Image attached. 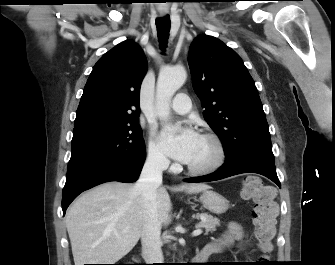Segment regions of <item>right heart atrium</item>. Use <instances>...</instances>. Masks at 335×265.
<instances>
[{"label": "right heart atrium", "instance_id": "obj_1", "mask_svg": "<svg viewBox=\"0 0 335 265\" xmlns=\"http://www.w3.org/2000/svg\"><path fill=\"white\" fill-rule=\"evenodd\" d=\"M147 161L156 169L163 170L169 166V160L153 134L150 136L147 146Z\"/></svg>", "mask_w": 335, "mask_h": 265}]
</instances>
